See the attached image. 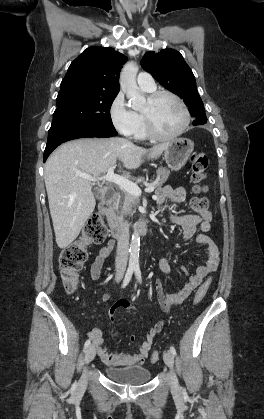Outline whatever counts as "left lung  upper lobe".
<instances>
[{"instance_id": "1", "label": "left lung upper lobe", "mask_w": 264, "mask_h": 419, "mask_svg": "<svg viewBox=\"0 0 264 419\" xmlns=\"http://www.w3.org/2000/svg\"><path fill=\"white\" fill-rule=\"evenodd\" d=\"M141 66L163 87L182 98L191 116L206 118L194 75L178 51L164 49L159 53L147 52L141 60Z\"/></svg>"}]
</instances>
